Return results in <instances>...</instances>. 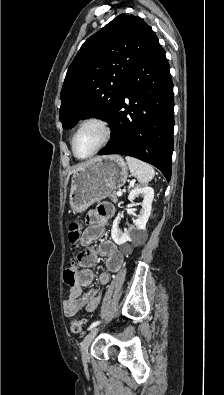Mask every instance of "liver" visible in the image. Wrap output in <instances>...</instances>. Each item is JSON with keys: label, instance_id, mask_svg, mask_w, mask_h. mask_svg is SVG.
Here are the masks:
<instances>
[{"label": "liver", "instance_id": "6515ba94", "mask_svg": "<svg viewBox=\"0 0 224 395\" xmlns=\"http://www.w3.org/2000/svg\"><path fill=\"white\" fill-rule=\"evenodd\" d=\"M93 160H94V159H92V160H90V161H88V162H86V163H83V164H81V165H80L78 168H76L75 170H73V171L69 172V174H68V176H67V180H66V182H68V180H69V176H70L72 173H74L75 171H77V170H79V169L83 168L84 166H86V165L90 164V163H91Z\"/></svg>", "mask_w": 224, "mask_h": 395}]
</instances>
